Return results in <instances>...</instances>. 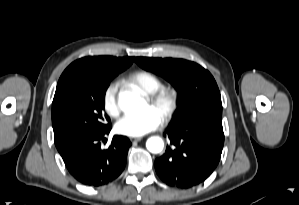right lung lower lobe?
I'll use <instances>...</instances> for the list:
<instances>
[{
    "label": "right lung lower lobe",
    "instance_id": "obj_1",
    "mask_svg": "<svg viewBox=\"0 0 299 205\" xmlns=\"http://www.w3.org/2000/svg\"><path fill=\"white\" fill-rule=\"evenodd\" d=\"M111 125L99 132L78 136L70 140L59 151L68 171L80 183L102 186L114 181L124 170L129 139L115 135L108 149L101 142L108 135Z\"/></svg>",
    "mask_w": 299,
    "mask_h": 205
}]
</instances>
